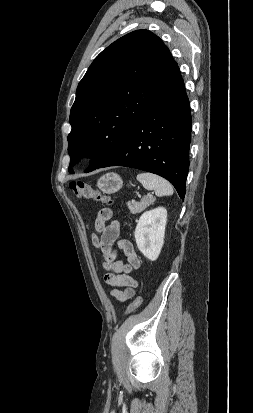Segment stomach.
Masks as SVG:
<instances>
[{
    "label": "stomach",
    "instance_id": "stomach-1",
    "mask_svg": "<svg viewBox=\"0 0 253 413\" xmlns=\"http://www.w3.org/2000/svg\"><path fill=\"white\" fill-rule=\"evenodd\" d=\"M123 186L122 178L116 173H107L101 176L97 182V187L104 194H113L118 192Z\"/></svg>",
    "mask_w": 253,
    "mask_h": 413
}]
</instances>
